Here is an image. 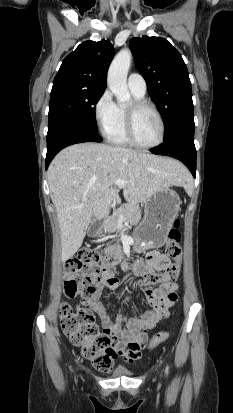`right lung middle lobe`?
I'll return each mask as SVG.
<instances>
[{
  "label": "right lung middle lobe",
  "mask_w": 233,
  "mask_h": 413,
  "mask_svg": "<svg viewBox=\"0 0 233 413\" xmlns=\"http://www.w3.org/2000/svg\"><path fill=\"white\" fill-rule=\"evenodd\" d=\"M104 90L76 84L53 85L49 103L48 129L70 123L98 132L95 105Z\"/></svg>",
  "instance_id": "dd1d6c3e"
}]
</instances>
